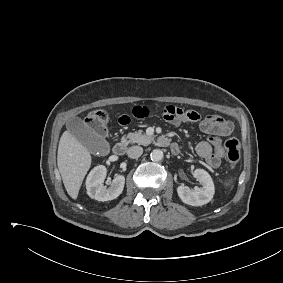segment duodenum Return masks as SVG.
<instances>
[{
  "instance_id": "obj_1",
  "label": "duodenum",
  "mask_w": 283,
  "mask_h": 283,
  "mask_svg": "<svg viewBox=\"0 0 283 283\" xmlns=\"http://www.w3.org/2000/svg\"><path fill=\"white\" fill-rule=\"evenodd\" d=\"M158 144L160 146H162V147L170 146V148H171V150H172V152L174 154H177L179 152L178 147L174 143L171 144L170 140L168 138H166V137L159 138L158 139ZM127 147H128L127 143H125V142H118L113 147V154L115 156H118V157L123 156L126 153V151H127Z\"/></svg>"
}]
</instances>
